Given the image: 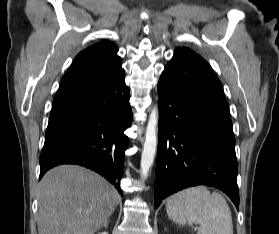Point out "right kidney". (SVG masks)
<instances>
[{
  "instance_id": "1",
  "label": "right kidney",
  "mask_w": 279,
  "mask_h": 234,
  "mask_svg": "<svg viewBox=\"0 0 279 234\" xmlns=\"http://www.w3.org/2000/svg\"><path fill=\"white\" fill-rule=\"evenodd\" d=\"M99 234H108L107 232H100Z\"/></svg>"
}]
</instances>
